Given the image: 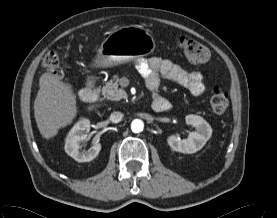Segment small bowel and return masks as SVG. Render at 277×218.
Here are the masks:
<instances>
[{
    "mask_svg": "<svg viewBox=\"0 0 277 218\" xmlns=\"http://www.w3.org/2000/svg\"><path fill=\"white\" fill-rule=\"evenodd\" d=\"M135 66L152 93V107L157 112H164L159 110L160 100L165 99L158 92L161 77L185 87L194 96H200L205 92L203 75L200 71H188L169 59L158 56L147 60L141 59L135 62Z\"/></svg>",
    "mask_w": 277,
    "mask_h": 218,
    "instance_id": "small-bowel-1",
    "label": "small bowel"
}]
</instances>
